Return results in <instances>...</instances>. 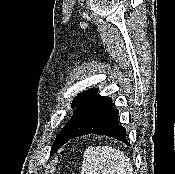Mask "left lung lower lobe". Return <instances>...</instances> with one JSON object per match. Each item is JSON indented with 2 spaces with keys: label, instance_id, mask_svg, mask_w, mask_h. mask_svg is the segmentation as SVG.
Masks as SVG:
<instances>
[{
  "label": "left lung lower lobe",
  "instance_id": "obj_1",
  "mask_svg": "<svg viewBox=\"0 0 175 174\" xmlns=\"http://www.w3.org/2000/svg\"><path fill=\"white\" fill-rule=\"evenodd\" d=\"M92 89L76 105V109L65 129L63 145L70 139L94 133L112 136L128 144L126 130L118 123V110L113 107L110 97L97 95Z\"/></svg>",
  "mask_w": 175,
  "mask_h": 174
}]
</instances>
